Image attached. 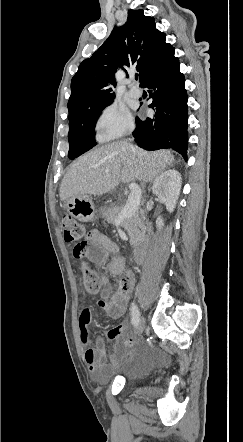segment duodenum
Listing matches in <instances>:
<instances>
[{
    "label": "duodenum",
    "instance_id": "obj_1",
    "mask_svg": "<svg viewBox=\"0 0 243 442\" xmlns=\"http://www.w3.org/2000/svg\"><path fill=\"white\" fill-rule=\"evenodd\" d=\"M147 250L145 247H136L133 250V260L135 263L140 264L145 261Z\"/></svg>",
    "mask_w": 243,
    "mask_h": 442
}]
</instances>
